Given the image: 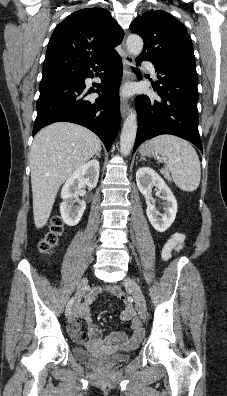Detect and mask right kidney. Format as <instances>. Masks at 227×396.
Returning <instances> with one entry per match:
<instances>
[{
  "instance_id": "ca27d5eb",
  "label": "right kidney",
  "mask_w": 227,
  "mask_h": 396,
  "mask_svg": "<svg viewBox=\"0 0 227 396\" xmlns=\"http://www.w3.org/2000/svg\"><path fill=\"white\" fill-rule=\"evenodd\" d=\"M99 169V162L93 159L81 165L66 180L61 191L63 202L60 204V213L68 226H75L79 223L86 209V202L79 199L81 188L85 185L90 189L96 187Z\"/></svg>"
}]
</instances>
